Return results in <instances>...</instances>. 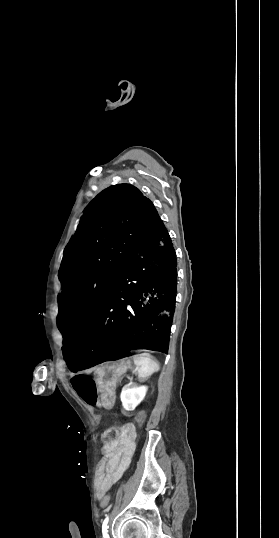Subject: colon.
I'll return each instance as SVG.
<instances>
[{
    "label": "colon",
    "mask_w": 279,
    "mask_h": 538,
    "mask_svg": "<svg viewBox=\"0 0 279 538\" xmlns=\"http://www.w3.org/2000/svg\"><path fill=\"white\" fill-rule=\"evenodd\" d=\"M118 438H119V431H118V429L116 427H111V428L107 429L106 431H104V433L102 435V440H103L104 446L105 445H111V444L115 443ZM106 461H107V455L103 451L102 456L100 457V459H99V461L97 463V468H96V479H97V481L102 477V475L104 473V466H105ZM109 503H110V497L108 495L103 496V498L101 500V506L102 507H107L109 505Z\"/></svg>",
    "instance_id": "5ec220e1"
}]
</instances>
